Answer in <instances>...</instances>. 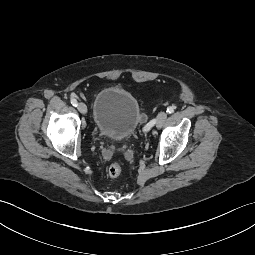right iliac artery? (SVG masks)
<instances>
[{"mask_svg": "<svg viewBox=\"0 0 255 255\" xmlns=\"http://www.w3.org/2000/svg\"><path fill=\"white\" fill-rule=\"evenodd\" d=\"M71 104H72L74 107H77L78 102H77L76 99H71Z\"/></svg>", "mask_w": 255, "mask_h": 255, "instance_id": "1", "label": "right iliac artery"}]
</instances>
